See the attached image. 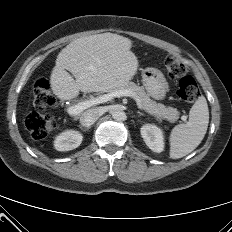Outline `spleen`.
<instances>
[{
	"label": "spleen",
	"mask_w": 232,
	"mask_h": 232,
	"mask_svg": "<svg viewBox=\"0 0 232 232\" xmlns=\"http://www.w3.org/2000/svg\"><path fill=\"white\" fill-rule=\"evenodd\" d=\"M209 123L208 104L199 97L189 112V121L176 125L170 134V158L178 159L191 153L203 140Z\"/></svg>",
	"instance_id": "1"
}]
</instances>
